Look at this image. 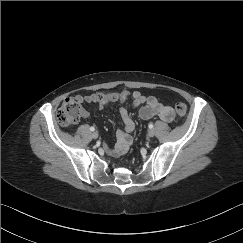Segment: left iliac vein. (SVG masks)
<instances>
[{"label":"left iliac vein","mask_w":243,"mask_h":243,"mask_svg":"<svg viewBox=\"0 0 243 243\" xmlns=\"http://www.w3.org/2000/svg\"><path fill=\"white\" fill-rule=\"evenodd\" d=\"M155 135V132L153 130L148 131V136L153 137Z\"/></svg>","instance_id":"1"}]
</instances>
